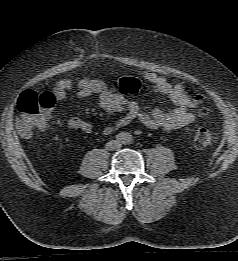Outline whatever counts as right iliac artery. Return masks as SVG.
Here are the masks:
<instances>
[{
	"instance_id": "obj_1",
	"label": "right iliac artery",
	"mask_w": 238,
	"mask_h": 261,
	"mask_svg": "<svg viewBox=\"0 0 238 261\" xmlns=\"http://www.w3.org/2000/svg\"><path fill=\"white\" fill-rule=\"evenodd\" d=\"M125 134L124 133H119L116 135V141L119 143H123L125 141Z\"/></svg>"
}]
</instances>
